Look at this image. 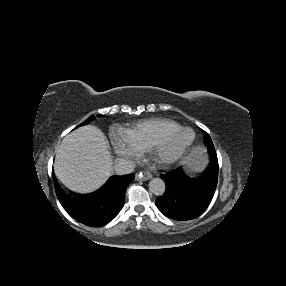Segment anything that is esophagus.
Wrapping results in <instances>:
<instances>
[{
  "instance_id": "obj_1",
  "label": "esophagus",
  "mask_w": 286,
  "mask_h": 286,
  "mask_svg": "<svg viewBox=\"0 0 286 286\" xmlns=\"http://www.w3.org/2000/svg\"><path fill=\"white\" fill-rule=\"evenodd\" d=\"M150 178H152V174L148 171H142V172L136 174L137 180H144L145 181V180H148Z\"/></svg>"
}]
</instances>
